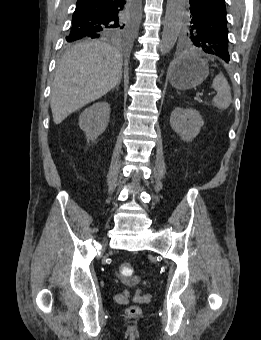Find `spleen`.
<instances>
[{
    "label": "spleen",
    "mask_w": 261,
    "mask_h": 340,
    "mask_svg": "<svg viewBox=\"0 0 261 340\" xmlns=\"http://www.w3.org/2000/svg\"><path fill=\"white\" fill-rule=\"evenodd\" d=\"M212 88L217 91L213 99L214 105L221 109H227L232 102L231 90L227 79L223 74H218L212 83Z\"/></svg>",
    "instance_id": "1"
}]
</instances>
